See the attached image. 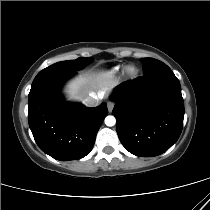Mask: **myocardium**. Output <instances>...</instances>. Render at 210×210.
Wrapping results in <instances>:
<instances>
[{"label": "myocardium", "instance_id": "obj_1", "mask_svg": "<svg viewBox=\"0 0 210 210\" xmlns=\"http://www.w3.org/2000/svg\"><path fill=\"white\" fill-rule=\"evenodd\" d=\"M137 68L133 65H128L126 68H125V73L127 76L133 78L137 75Z\"/></svg>", "mask_w": 210, "mask_h": 210}]
</instances>
